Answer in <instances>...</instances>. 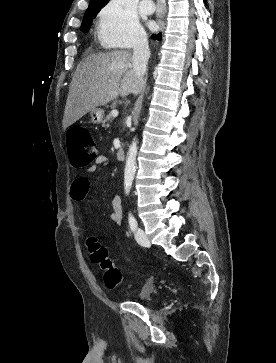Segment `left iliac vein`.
<instances>
[{"mask_svg":"<svg viewBox=\"0 0 276 363\" xmlns=\"http://www.w3.org/2000/svg\"><path fill=\"white\" fill-rule=\"evenodd\" d=\"M135 239L138 242V244H140L141 246H144V247H149L150 246V241L148 240L144 230L141 229V228H138L136 230Z\"/></svg>","mask_w":276,"mask_h":363,"instance_id":"left-iliac-vein-1","label":"left iliac vein"}]
</instances>
